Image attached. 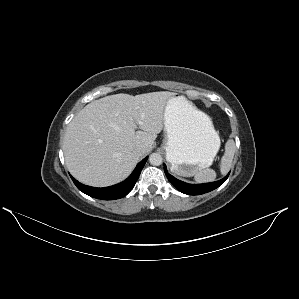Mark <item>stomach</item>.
Here are the masks:
<instances>
[{
    "label": "stomach",
    "instance_id": "obj_1",
    "mask_svg": "<svg viewBox=\"0 0 299 299\" xmlns=\"http://www.w3.org/2000/svg\"><path fill=\"white\" fill-rule=\"evenodd\" d=\"M162 147L171 170L193 176L209 167L220 148V138L210 118L181 95L174 94L165 105Z\"/></svg>",
    "mask_w": 299,
    "mask_h": 299
}]
</instances>
